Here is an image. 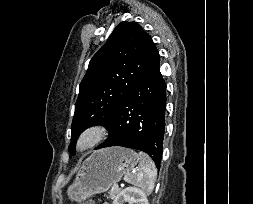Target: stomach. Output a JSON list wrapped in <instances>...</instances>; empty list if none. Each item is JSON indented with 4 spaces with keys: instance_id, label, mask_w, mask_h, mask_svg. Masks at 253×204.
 Masks as SVG:
<instances>
[{
    "instance_id": "obj_1",
    "label": "stomach",
    "mask_w": 253,
    "mask_h": 204,
    "mask_svg": "<svg viewBox=\"0 0 253 204\" xmlns=\"http://www.w3.org/2000/svg\"><path fill=\"white\" fill-rule=\"evenodd\" d=\"M138 160L135 151L124 147L95 151L83 162L74 182L68 187V197L81 202L108 191L135 167Z\"/></svg>"
}]
</instances>
